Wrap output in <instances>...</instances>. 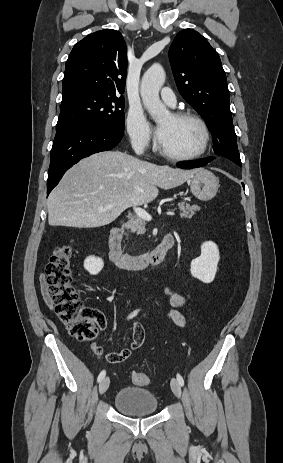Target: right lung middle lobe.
Here are the masks:
<instances>
[{"label": "right lung middle lobe", "instance_id": "right-lung-middle-lobe-1", "mask_svg": "<svg viewBox=\"0 0 283 463\" xmlns=\"http://www.w3.org/2000/svg\"><path fill=\"white\" fill-rule=\"evenodd\" d=\"M124 99L86 94L61 103L56 132L83 125H98L124 132Z\"/></svg>", "mask_w": 283, "mask_h": 463}]
</instances>
